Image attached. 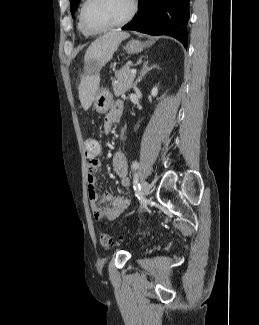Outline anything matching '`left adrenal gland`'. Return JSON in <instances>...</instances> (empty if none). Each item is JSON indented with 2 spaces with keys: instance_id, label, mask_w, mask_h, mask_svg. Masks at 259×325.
Wrapping results in <instances>:
<instances>
[{
  "instance_id": "left-adrenal-gland-1",
  "label": "left adrenal gland",
  "mask_w": 259,
  "mask_h": 325,
  "mask_svg": "<svg viewBox=\"0 0 259 325\" xmlns=\"http://www.w3.org/2000/svg\"><path fill=\"white\" fill-rule=\"evenodd\" d=\"M153 68H157L156 65L152 66V67H149L148 66V61H145L143 63V66H142V69H141V72H140V76L138 77V79L135 81L133 87L134 89H136L138 83L142 80V78L149 72L151 71Z\"/></svg>"
}]
</instances>
